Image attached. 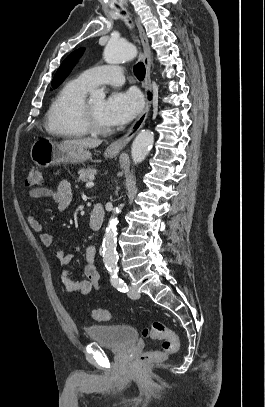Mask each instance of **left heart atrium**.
<instances>
[{
    "label": "left heart atrium",
    "instance_id": "1",
    "mask_svg": "<svg viewBox=\"0 0 265 407\" xmlns=\"http://www.w3.org/2000/svg\"><path fill=\"white\" fill-rule=\"evenodd\" d=\"M142 99L135 91L114 92L105 102L104 117L110 126L131 121L141 110Z\"/></svg>",
    "mask_w": 265,
    "mask_h": 407
}]
</instances>
